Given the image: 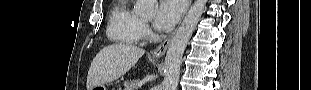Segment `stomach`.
I'll use <instances>...</instances> for the list:
<instances>
[{"instance_id":"1","label":"stomach","mask_w":311,"mask_h":90,"mask_svg":"<svg viewBox=\"0 0 311 90\" xmlns=\"http://www.w3.org/2000/svg\"><path fill=\"white\" fill-rule=\"evenodd\" d=\"M94 90H107L105 85L97 86L93 88Z\"/></svg>"}]
</instances>
